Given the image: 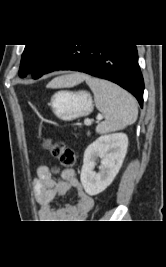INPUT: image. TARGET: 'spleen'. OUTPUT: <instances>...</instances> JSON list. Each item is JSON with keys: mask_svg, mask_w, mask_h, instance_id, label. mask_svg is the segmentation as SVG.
Instances as JSON below:
<instances>
[{"mask_svg": "<svg viewBox=\"0 0 166 267\" xmlns=\"http://www.w3.org/2000/svg\"><path fill=\"white\" fill-rule=\"evenodd\" d=\"M86 83L94 93L97 109L105 117V120L97 125V133L121 130L136 121L137 102L132 95L106 80L87 77Z\"/></svg>", "mask_w": 166, "mask_h": 267, "instance_id": "spleen-1", "label": "spleen"}]
</instances>
